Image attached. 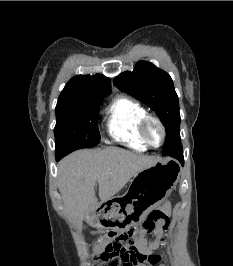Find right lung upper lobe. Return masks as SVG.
Listing matches in <instances>:
<instances>
[{
  "label": "right lung upper lobe",
  "instance_id": "cb5924a9",
  "mask_svg": "<svg viewBox=\"0 0 233 266\" xmlns=\"http://www.w3.org/2000/svg\"><path fill=\"white\" fill-rule=\"evenodd\" d=\"M111 93V82L103 75H78L65 86L58 101L82 98H103Z\"/></svg>",
  "mask_w": 233,
  "mask_h": 266
}]
</instances>
